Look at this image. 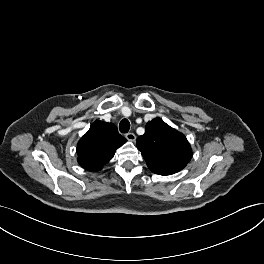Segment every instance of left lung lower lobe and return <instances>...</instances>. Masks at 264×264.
<instances>
[{"label":"left lung lower lobe","instance_id":"0a47b994","mask_svg":"<svg viewBox=\"0 0 264 264\" xmlns=\"http://www.w3.org/2000/svg\"><path fill=\"white\" fill-rule=\"evenodd\" d=\"M156 174H159V175H171L173 174L172 172H154Z\"/></svg>","mask_w":264,"mask_h":264}]
</instances>
